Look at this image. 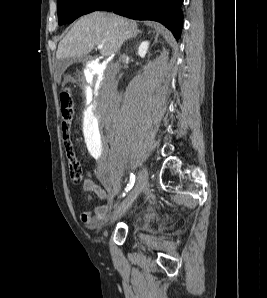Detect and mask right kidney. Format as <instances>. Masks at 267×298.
<instances>
[{
  "mask_svg": "<svg viewBox=\"0 0 267 298\" xmlns=\"http://www.w3.org/2000/svg\"><path fill=\"white\" fill-rule=\"evenodd\" d=\"M148 47H149V42L148 41H143L139 48H138V55L141 57V58H144L146 53H147V50H148Z\"/></svg>",
  "mask_w": 267,
  "mask_h": 298,
  "instance_id": "ca27d5eb",
  "label": "right kidney"
}]
</instances>
